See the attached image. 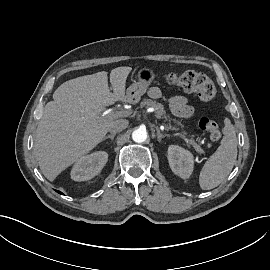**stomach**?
Instances as JSON below:
<instances>
[{
	"instance_id": "0dacf381",
	"label": "stomach",
	"mask_w": 270,
	"mask_h": 270,
	"mask_svg": "<svg viewBox=\"0 0 270 270\" xmlns=\"http://www.w3.org/2000/svg\"><path fill=\"white\" fill-rule=\"evenodd\" d=\"M155 76V72L152 68L144 67L139 69L136 75L137 81H134L127 88V101L129 103H137L140 100L141 96H143L147 92L148 87L154 81Z\"/></svg>"
}]
</instances>
